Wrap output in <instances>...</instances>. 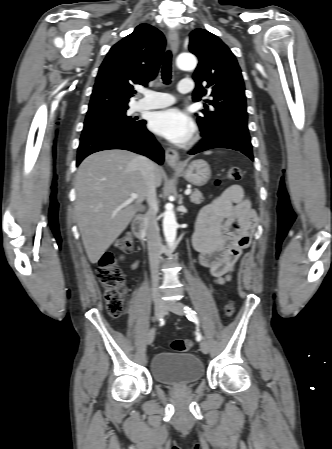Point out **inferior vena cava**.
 Wrapping results in <instances>:
<instances>
[{
  "label": "inferior vena cava",
  "instance_id": "602c4592",
  "mask_svg": "<svg viewBox=\"0 0 332 449\" xmlns=\"http://www.w3.org/2000/svg\"><path fill=\"white\" fill-rule=\"evenodd\" d=\"M136 161L139 165L140 172L147 187L146 201L148 203V211L145 214V231L147 235L148 254L150 262V270L153 283V295L158 296L159 283V263L162 253V243L157 223V197L155 188V165L146 157L138 156Z\"/></svg>",
  "mask_w": 332,
  "mask_h": 449
}]
</instances>
